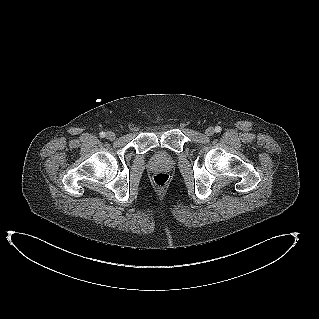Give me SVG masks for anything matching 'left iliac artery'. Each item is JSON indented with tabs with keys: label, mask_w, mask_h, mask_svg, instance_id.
I'll use <instances>...</instances> for the list:
<instances>
[{
	"label": "left iliac artery",
	"mask_w": 319,
	"mask_h": 319,
	"mask_svg": "<svg viewBox=\"0 0 319 319\" xmlns=\"http://www.w3.org/2000/svg\"><path fill=\"white\" fill-rule=\"evenodd\" d=\"M215 132H216V133L221 132V127H220V126H216V127H215Z\"/></svg>",
	"instance_id": "44dca946"
}]
</instances>
